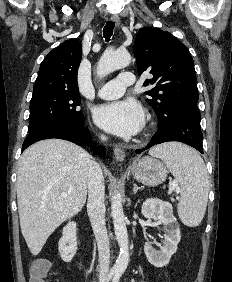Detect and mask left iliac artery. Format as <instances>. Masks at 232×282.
<instances>
[{"instance_id":"left-iliac-artery-1","label":"left iliac artery","mask_w":232,"mask_h":282,"mask_svg":"<svg viewBox=\"0 0 232 282\" xmlns=\"http://www.w3.org/2000/svg\"><path fill=\"white\" fill-rule=\"evenodd\" d=\"M120 276H121V273H116L112 282H119Z\"/></svg>"}]
</instances>
